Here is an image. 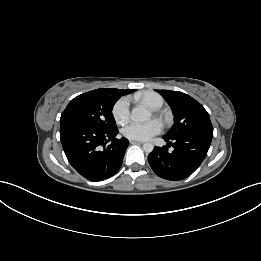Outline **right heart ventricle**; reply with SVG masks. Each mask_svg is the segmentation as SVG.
<instances>
[{
    "instance_id": "obj_1",
    "label": "right heart ventricle",
    "mask_w": 261,
    "mask_h": 261,
    "mask_svg": "<svg viewBox=\"0 0 261 261\" xmlns=\"http://www.w3.org/2000/svg\"><path fill=\"white\" fill-rule=\"evenodd\" d=\"M138 98L152 109H158L163 104L162 97L154 92L147 91L138 96Z\"/></svg>"
}]
</instances>
